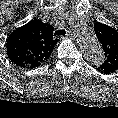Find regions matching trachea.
Listing matches in <instances>:
<instances>
[{
    "instance_id": "1",
    "label": "trachea",
    "mask_w": 118,
    "mask_h": 118,
    "mask_svg": "<svg viewBox=\"0 0 118 118\" xmlns=\"http://www.w3.org/2000/svg\"><path fill=\"white\" fill-rule=\"evenodd\" d=\"M65 34H66V31L63 29H60L54 33V36H65Z\"/></svg>"
}]
</instances>
